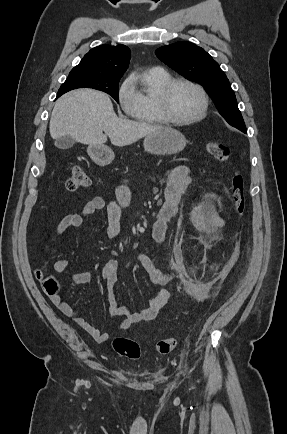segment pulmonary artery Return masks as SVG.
I'll use <instances>...</instances> for the list:
<instances>
[{
	"instance_id": "pulmonary-artery-1",
	"label": "pulmonary artery",
	"mask_w": 287,
	"mask_h": 434,
	"mask_svg": "<svg viewBox=\"0 0 287 434\" xmlns=\"http://www.w3.org/2000/svg\"><path fill=\"white\" fill-rule=\"evenodd\" d=\"M161 68H159V67H154V68H152L150 71H159Z\"/></svg>"
}]
</instances>
